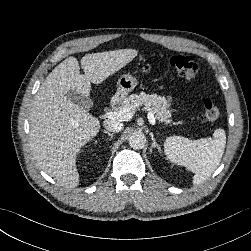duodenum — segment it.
Listing matches in <instances>:
<instances>
[{"instance_id":"duodenum-1","label":"duodenum","mask_w":251,"mask_h":251,"mask_svg":"<svg viewBox=\"0 0 251 251\" xmlns=\"http://www.w3.org/2000/svg\"><path fill=\"white\" fill-rule=\"evenodd\" d=\"M118 102H119V97H117V96L113 97L112 100H111V104H112V105H115V104H117Z\"/></svg>"}]
</instances>
